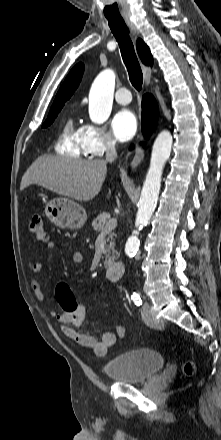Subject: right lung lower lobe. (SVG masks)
Returning a JSON list of instances; mask_svg holds the SVG:
<instances>
[{
    "instance_id": "1",
    "label": "right lung lower lobe",
    "mask_w": 221,
    "mask_h": 440,
    "mask_svg": "<svg viewBox=\"0 0 221 440\" xmlns=\"http://www.w3.org/2000/svg\"><path fill=\"white\" fill-rule=\"evenodd\" d=\"M158 106L154 97L145 94L142 98V132L146 138L150 136L158 120Z\"/></svg>"
}]
</instances>
